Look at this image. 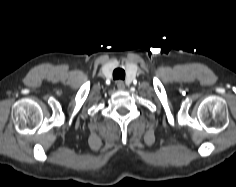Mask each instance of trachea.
Listing matches in <instances>:
<instances>
[{"mask_svg":"<svg viewBox=\"0 0 236 187\" xmlns=\"http://www.w3.org/2000/svg\"><path fill=\"white\" fill-rule=\"evenodd\" d=\"M125 78V71L122 68H116L113 71V79L117 80V79H121L124 80Z\"/></svg>","mask_w":236,"mask_h":187,"instance_id":"trachea-1","label":"trachea"}]
</instances>
